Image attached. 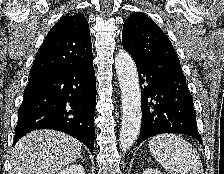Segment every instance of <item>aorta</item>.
Segmentation results:
<instances>
[{"label":"aorta","mask_w":224,"mask_h":174,"mask_svg":"<svg viewBox=\"0 0 224 174\" xmlns=\"http://www.w3.org/2000/svg\"><path fill=\"white\" fill-rule=\"evenodd\" d=\"M115 67L122 98L120 145L126 150L133 145L140 132L141 93L138 72L129 53L120 50L115 57Z\"/></svg>","instance_id":"obj_1"}]
</instances>
